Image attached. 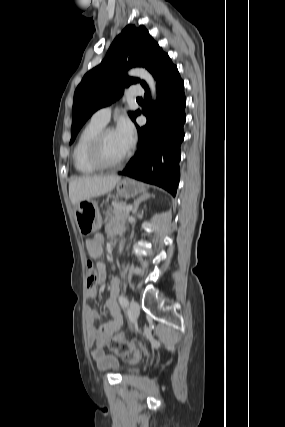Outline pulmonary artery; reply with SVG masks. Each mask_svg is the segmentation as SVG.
<instances>
[{
    "label": "pulmonary artery",
    "instance_id": "e3ab8cb5",
    "mask_svg": "<svg viewBox=\"0 0 285 427\" xmlns=\"http://www.w3.org/2000/svg\"><path fill=\"white\" fill-rule=\"evenodd\" d=\"M144 95V89L140 85H132L129 88L128 96L131 98L135 97H141ZM111 115V106L103 107L97 110L93 116L92 119L101 122L103 124H107Z\"/></svg>",
    "mask_w": 285,
    "mask_h": 427
}]
</instances>
